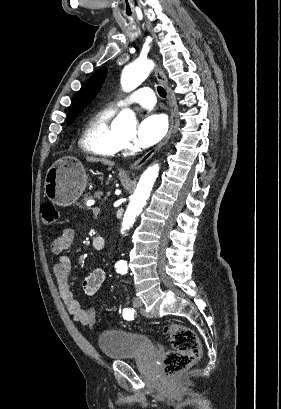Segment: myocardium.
I'll use <instances>...</instances> for the list:
<instances>
[{"label":"myocardium","mask_w":281,"mask_h":409,"mask_svg":"<svg viewBox=\"0 0 281 409\" xmlns=\"http://www.w3.org/2000/svg\"><path fill=\"white\" fill-rule=\"evenodd\" d=\"M113 136L117 151H127L131 148V143L122 138L115 130H113Z\"/></svg>","instance_id":"myocardium-1"}]
</instances>
